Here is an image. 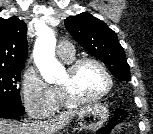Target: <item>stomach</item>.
Returning a JSON list of instances; mask_svg holds the SVG:
<instances>
[{
    "label": "stomach",
    "instance_id": "obj_1",
    "mask_svg": "<svg viewBox=\"0 0 153 134\" xmlns=\"http://www.w3.org/2000/svg\"><path fill=\"white\" fill-rule=\"evenodd\" d=\"M108 108L100 103L88 105L80 110L78 125L80 130L96 131L107 121Z\"/></svg>",
    "mask_w": 153,
    "mask_h": 134
}]
</instances>
